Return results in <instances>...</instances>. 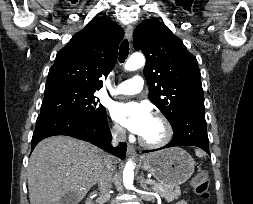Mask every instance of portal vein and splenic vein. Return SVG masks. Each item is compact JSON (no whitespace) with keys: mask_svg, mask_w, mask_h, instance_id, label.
Instances as JSON below:
<instances>
[{"mask_svg":"<svg viewBox=\"0 0 253 204\" xmlns=\"http://www.w3.org/2000/svg\"><path fill=\"white\" fill-rule=\"evenodd\" d=\"M146 183L149 184V185L155 184V182L151 179L146 180Z\"/></svg>","mask_w":253,"mask_h":204,"instance_id":"portal-vein-and-splenic-vein-1","label":"portal vein and splenic vein"}]
</instances>
